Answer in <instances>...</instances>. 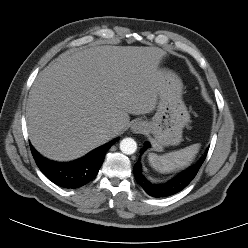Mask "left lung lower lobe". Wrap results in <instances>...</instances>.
Here are the masks:
<instances>
[{
	"instance_id": "0a47b994",
	"label": "left lung lower lobe",
	"mask_w": 248,
	"mask_h": 248,
	"mask_svg": "<svg viewBox=\"0 0 248 248\" xmlns=\"http://www.w3.org/2000/svg\"><path fill=\"white\" fill-rule=\"evenodd\" d=\"M150 144L145 142L144 147L141 149L140 154H142L146 148H148ZM207 151L200 158L198 162H196L193 166L188 168L187 170L179 173L169 181L165 183H152L150 182L143 174L141 170L140 158L137 163L134 165L133 172L137 183L145 190L147 194L152 197L160 198V197H168L174 195L181 190H183L196 176L201 165L203 164Z\"/></svg>"
}]
</instances>
